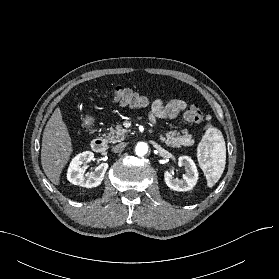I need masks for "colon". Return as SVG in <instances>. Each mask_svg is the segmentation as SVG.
Returning a JSON list of instances; mask_svg holds the SVG:
<instances>
[{"label":"colon","mask_w":279,"mask_h":279,"mask_svg":"<svg viewBox=\"0 0 279 279\" xmlns=\"http://www.w3.org/2000/svg\"><path fill=\"white\" fill-rule=\"evenodd\" d=\"M112 94L114 100L122 105L145 107L149 104V98L146 95L137 93L126 87L117 86L114 88ZM183 118L187 122L199 123L203 120L204 115L199 105L192 104L184 112Z\"/></svg>","instance_id":"colon-1"}]
</instances>
